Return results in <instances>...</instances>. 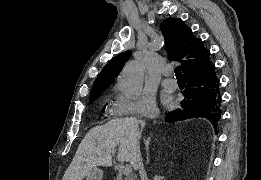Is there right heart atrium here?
<instances>
[{
  "label": "right heart atrium",
  "mask_w": 261,
  "mask_h": 180,
  "mask_svg": "<svg viewBox=\"0 0 261 180\" xmlns=\"http://www.w3.org/2000/svg\"><path fill=\"white\" fill-rule=\"evenodd\" d=\"M142 98H135L128 100L121 92L117 93V98L124 104V108L118 112H111V114H153L157 111L155 96L151 92L142 93Z\"/></svg>",
  "instance_id": "1"
}]
</instances>
